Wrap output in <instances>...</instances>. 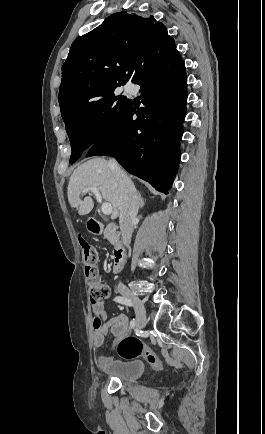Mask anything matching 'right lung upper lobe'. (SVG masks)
<instances>
[{"label": "right lung upper lobe", "mask_w": 265, "mask_h": 434, "mask_svg": "<svg viewBox=\"0 0 265 434\" xmlns=\"http://www.w3.org/2000/svg\"><path fill=\"white\" fill-rule=\"evenodd\" d=\"M175 48L167 28L153 16L112 14L72 43L58 98L103 81L134 82L149 64Z\"/></svg>", "instance_id": "right-lung-upper-lobe-1"}]
</instances>
